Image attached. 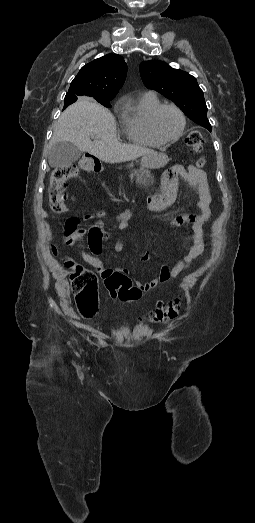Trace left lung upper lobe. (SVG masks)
<instances>
[{
    "mask_svg": "<svg viewBox=\"0 0 255 523\" xmlns=\"http://www.w3.org/2000/svg\"><path fill=\"white\" fill-rule=\"evenodd\" d=\"M140 75L147 88L172 100L192 121L211 132L204 95L193 76L155 60L142 62Z\"/></svg>",
    "mask_w": 255,
    "mask_h": 523,
    "instance_id": "obj_1",
    "label": "left lung upper lobe"
}]
</instances>
